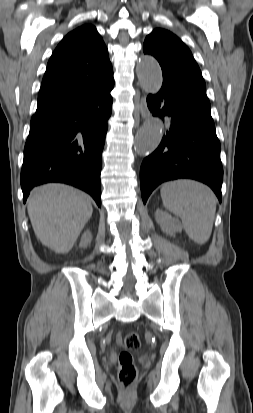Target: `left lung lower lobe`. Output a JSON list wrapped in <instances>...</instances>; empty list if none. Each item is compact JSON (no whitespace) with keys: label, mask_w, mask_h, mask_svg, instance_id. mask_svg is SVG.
<instances>
[{"label":"left lung lower lobe","mask_w":253,"mask_h":413,"mask_svg":"<svg viewBox=\"0 0 253 413\" xmlns=\"http://www.w3.org/2000/svg\"><path fill=\"white\" fill-rule=\"evenodd\" d=\"M154 116L169 118L167 133L140 168L143 202L161 183L190 178L209 185L221 202L223 168L220 142L206 92L189 84L163 80L161 90L149 95Z\"/></svg>","instance_id":"0a47b994"}]
</instances>
